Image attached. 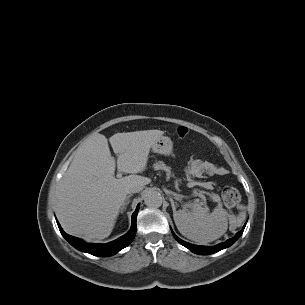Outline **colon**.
<instances>
[{"instance_id":"obj_1","label":"colon","mask_w":305,"mask_h":305,"mask_svg":"<svg viewBox=\"0 0 305 305\" xmlns=\"http://www.w3.org/2000/svg\"><path fill=\"white\" fill-rule=\"evenodd\" d=\"M188 133L187 127L181 126L177 129V135L181 139L185 138ZM222 199L227 207L234 208L240 202L241 196L239 191L234 187H226L222 191Z\"/></svg>"}]
</instances>
